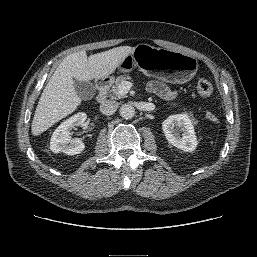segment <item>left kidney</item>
Instances as JSON below:
<instances>
[{"mask_svg": "<svg viewBox=\"0 0 257 257\" xmlns=\"http://www.w3.org/2000/svg\"><path fill=\"white\" fill-rule=\"evenodd\" d=\"M162 129L170 144L185 152H192L197 146L194 127L188 114L169 116L162 123ZM180 133L181 136H180Z\"/></svg>", "mask_w": 257, "mask_h": 257, "instance_id": "obj_1", "label": "left kidney"}]
</instances>
